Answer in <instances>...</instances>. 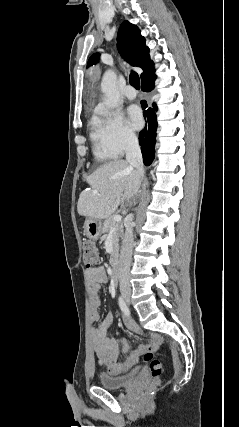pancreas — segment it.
Instances as JSON below:
<instances>
[{"label": "pancreas", "instance_id": "1", "mask_svg": "<svg viewBox=\"0 0 239 427\" xmlns=\"http://www.w3.org/2000/svg\"><path fill=\"white\" fill-rule=\"evenodd\" d=\"M115 225V221L113 220V217L107 218L102 226V232L103 233H107L110 231V229H112V227ZM122 234V228H118L115 230L114 234H113V251L111 253L110 256V264L113 265L116 262V259L118 257V251H119V247H118V240L119 237Z\"/></svg>", "mask_w": 239, "mask_h": 427}]
</instances>
